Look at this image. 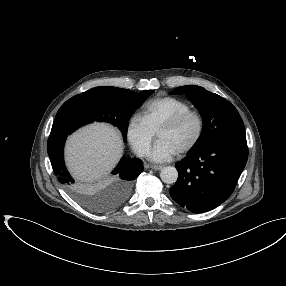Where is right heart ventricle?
Here are the masks:
<instances>
[{
    "label": "right heart ventricle",
    "mask_w": 286,
    "mask_h": 286,
    "mask_svg": "<svg viewBox=\"0 0 286 286\" xmlns=\"http://www.w3.org/2000/svg\"><path fill=\"white\" fill-rule=\"evenodd\" d=\"M190 105L175 97H160L149 101L143 111V117L154 132L170 118L190 110Z\"/></svg>",
    "instance_id": "right-heart-ventricle-1"
}]
</instances>
